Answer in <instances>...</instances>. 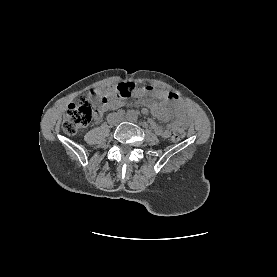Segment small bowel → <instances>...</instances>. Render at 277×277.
<instances>
[{
	"label": "small bowel",
	"mask_w": 277,
	"mask_h": 277,
	"mask_svg": "<svg viewBox=\"0 0 277 277\" xmlns=\"http://www.w3.org/2000/svg\"><path fill=\"white\" fill-rule=\"evenodd\" d=\"M102 91L107 96H112L116 90L103 89ZM137 94L141 96L152 94L158 100L154 101L148 98L144 99V103L146 105V107L142 109V113L144 115H147L151 110L155 115H157L161 120L164 121H169L174 116L184 121L189 120L187 113L178 106V99L174 93L149 87L147 89L137 90ZM122 105L123 101L121 99H112L108 106H106L105 108L98 109L94 116L95 121H99L106 110L111 108H117ZM152 127L158 135L164 138L170 136L169 128H163L156 123H152Z\"/></svg>",
	"instance_id": "small-bowel-1"
}]
</instances>
